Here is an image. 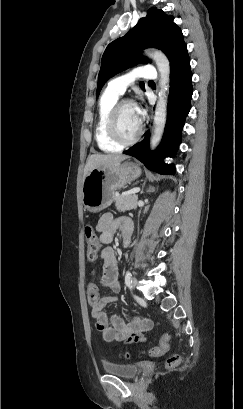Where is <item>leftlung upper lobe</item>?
<instances>
[{"mask_svg": "<svg viewBox=\"0 0 243 409\" xmlns=\"http://www.w3.org/2000/svg\"><path fill=\"white\" fill-rule=\"evenodd\" d=\"M173 20L172 16L152 7L126 35L111 42L102 56L96 96L110 77L137 63L147 62L141 54L145 48L162 50L171 61L185 44L182 31ZM140 87L144 90L143 82Z\"/></svg>", "mask_w": 243, "mask_h": 409, "instance_id": "5c2ea615", "label": "left lung upper lobe"}]
</instances>
